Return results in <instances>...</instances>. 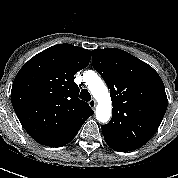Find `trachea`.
Returning <instances> with one entry per match:
<instances>
[{
  "mask_svg": "<svg viewBox=\"0 0 178 178\" xmlns=\"http://www.w3.org/2000/svg\"><path fill=\"white\" fill-rule=\"evenodd\" d=\"M80 98L84 101H90L91 95L87 89H82L80 92Z\"/></svg>",
  "mask_w": 178,
  "mask_h": 178,
  "instance_id": "1",
  "label": "trachea"
}]
</instances>
